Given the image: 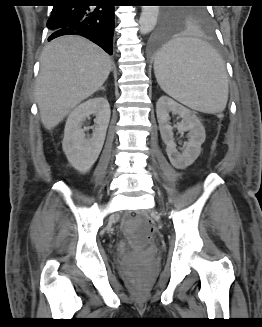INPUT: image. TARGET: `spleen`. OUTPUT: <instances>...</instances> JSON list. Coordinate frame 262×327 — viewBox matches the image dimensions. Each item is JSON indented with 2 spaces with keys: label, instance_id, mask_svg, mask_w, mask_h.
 <instances>
[{
  "label": "spleen",
  "instance_id": "3e777b00",
  "mask_svg": "<svg viewBox=\"0 0 262 327\" xmlns=\"http://www.w3.org/2000/svg\"><path fill=\"white\" fill-rule=\"evenodd\" d=\"M154 73L161 89L180 103L200 112L218 113L228 101L225 63L208 43L176 38L158 51Z\"/></svg>",
  "mask_w": 262,
  "mask_h": 327
}]
</instances>
